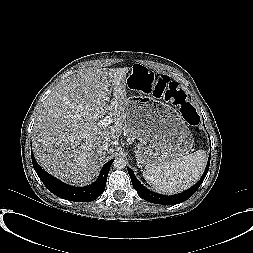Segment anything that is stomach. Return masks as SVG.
Returning a JSON list of instances; mask_svg holds the SVG:
<instances>
[{
	"label": "stomach",
	"mask_w": 253,
	"mask_h": 253,
	"mask_svg": "<svg viewBox=\"0 0 253 253\" xmlns=\"http://www.w3.org/2000/svg\"><path fill=\"white\" fill-rule=\"evenodd\" d=\"M124 127L139 141L135 157L145 168L181 157L193 147V135L183 116L151 97L128 98Z\"/></svg>",
	"instance_id": "obj_1"
}]
</instances>
